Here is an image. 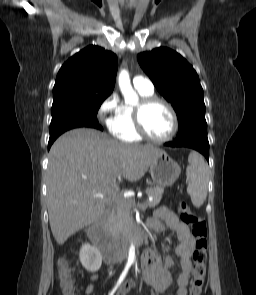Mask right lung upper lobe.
Masks as SVG:
<instances>
[{"mask_svg": "<svg viewBox=\"0 0 256 295\" xmlns=\"http://www.w3.org/2000/svg\"><path fill=\"white\" fill-rule=\"evenodd\" d=\"M117 57L91 45L68 59L57 74L53 102L107 98L114 89Z\"/></svg>", "mask_w": 256, "mask_h": 295, "instance_id": "1", "label": "right lung upper lobe"}]
</instances>
